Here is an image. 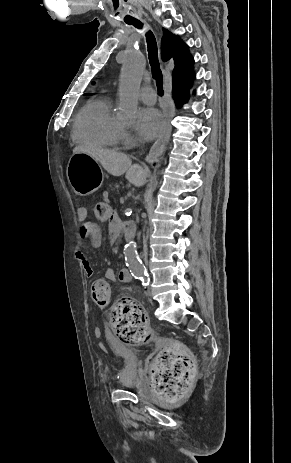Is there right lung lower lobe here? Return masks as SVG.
<instances>
[{"label": "right lung lower lobe", "mask_w": 291, "mask_h": 463, "mask_svg": "<svg viewBox=\"0 0 291 463\" xmlns=\"http://www.w3.org/2000/svg\"><path fill=\"white\" fill-rule=\"evenodd\" d=\"M193 77L194 75H192L190 80L184 85L173 86V95H174L175 103L177 107H181L188 100L189 89H190Z\"/></svg>", "instance_id": "right-lung-lower-lobe-1"}]
</instances>
